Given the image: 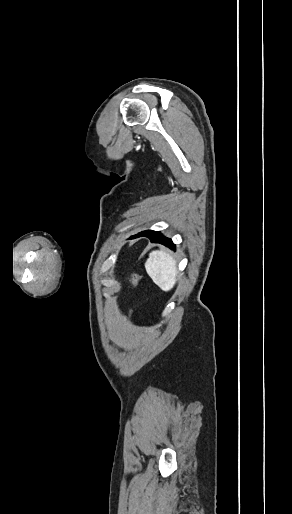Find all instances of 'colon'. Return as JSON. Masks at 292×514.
Segmentation results:
<instances>
[{
    "instance_id": "obj_1",
    "label": "colon",
    "mask_w": 292,
    "mask_h": 514,
    "mask_svg": "<svg viewBox=\"0 0 292 514\" xmlns=\"http://www.w3.org/2000/svg\"><path fill=\"white\" fill-rule=\"evenodd\" d=\"M140 281V276L138 273H132L129 277H128V284L129 286L131 287L132 289V292H135L136 290V287L138 285Z\"/></svg>"
}]
</instances>
